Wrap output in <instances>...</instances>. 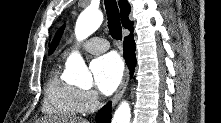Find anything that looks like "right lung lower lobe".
Listing matches in <instances>:
<instances>
[{"label":"right lung lower lobe","mask_w":221,"mask_h":123,"mask_svg":"<svg viewBox=\"0 0 221 123\" xmlns=\"http://www.w3.org/2000/svg\"><path fill=\"white\" fill-rule=\"evenodd\" d=\"M124 58L132 74V71L136 65L135 42L133 39V34H130L124 38ZM110 116L111 103L109 102L99 110L96 115V121L97 123H110Z\"/></svg>","instance_id":"1"}]
</instances>
